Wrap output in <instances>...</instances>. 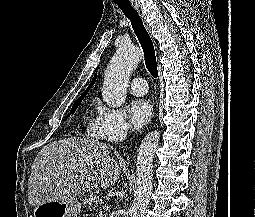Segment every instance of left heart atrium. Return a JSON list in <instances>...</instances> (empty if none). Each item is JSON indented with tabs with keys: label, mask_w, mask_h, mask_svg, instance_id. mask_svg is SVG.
Here are the masks:
<instances>
[{
	"label": "left heart atrium",
	"mask_w": 255,
	"mask_h": 217,
	"mask_svg": "<svg viewBox=\"0 0 255 217\" xmlns=\"http://www.w3.org/2000/svg\"><path fill=\"white\" fill-rule=\"evenodd\" d=\"M151 104L145 99H135L128 107V116L134 129H140L151 117Z\"/></svg>",
	"instance_id": "left-heart-atrium-1"
}]
</instances>
